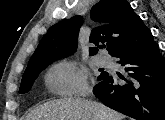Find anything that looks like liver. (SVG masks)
Here are the masks:
<instances>
[{"mask_svg": "<svg viewBox=\"0 0 165 120\" xmlns=\"http://www.w3.org/2000/svg\"><path fill=\"white\" fill-rule=\"evenodd\" d=\"M124 116L105 105L81 98H62L36 107L26 120H123Z\"/></svg>", "mask_w": 165, "mask_h": 120, "instance_id": "1", "label": "liver"}]
</instances>
